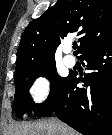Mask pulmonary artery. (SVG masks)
I'll use <instances>...</instances> for the list:
<instances>
[{
  "label": "pulmonary artery",
  "instance_id": "e3ab8cb5",
  "mask_svg": "<svg viewBox=\"0 0 112 135\" xmlns=\"http://www.w3.org/2000/svg\"><path fill=\"white\" fill-rule=\"evenodd\" d=\"M63 52L66 54L63 59L64 64L68 67H73L76 63V60L73 56L68 55L70 52V46L64 47Z\"/></svg>",
  "mask_w": 112,
  "mask_h": 135
}]
</instances>
